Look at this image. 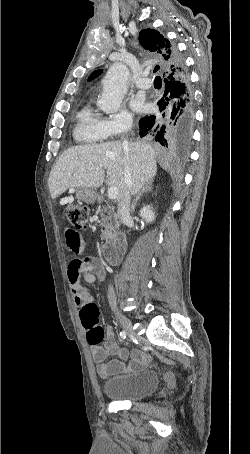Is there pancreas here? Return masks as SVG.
<instances>
[{"instance_id": "1", "label": "pancreas", "mask_w": 250, "mask_h": 454, "mask_svg": "<svg viewBox=\"0 0 250 454\" xmlns=\"http://www.w3.org/2000/svg\"><path fill=\"white\" fill-rule=\"evenodd\" d=\"M110 209V210H109ZM99 212L102 217V225L104 226L105 230L102 232V239L109 241L114 238L115 230L117 227V217L111 211V207L107 205V207L99 208ZM108 213L107 216L104 213Z\"/></svg>"}]
</instances>
